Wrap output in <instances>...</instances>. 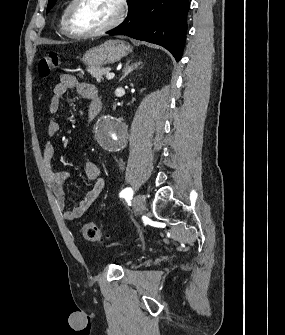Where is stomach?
Listing matches in <instances>:
<instances>
[{"label":"stomach","mask_w":285,"mask_h":335,"mask_svg":"<svg viewBox=\"0 0 285 335\" xmlns=\"http://www.w3.org/2000/svg\"><path fill=\"white\" fill-rule=\"evenodd\" d=\"M132 52L131 46L123 40H107L101 46H95L85 52L82 62L85 66L103 68L105 64H115Z\"/></svg>","instance_id":"obj_1"}]
</instances>
